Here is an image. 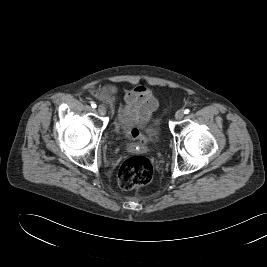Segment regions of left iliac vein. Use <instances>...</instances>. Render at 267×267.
Segmentation results:
<instances>
[{"instance_id":"1","label":"left iliac vein","mask_w":267,"mask_h":267,"mask_svg":"<svg viewBox=\"0 0 267 267\" xmlns=\"http://www.w3.org/2000/svg\"><path fill=\"white\" fill-rule=\"evenodd\" d=\"M184 117V111L183 110H178L175 114V118L177 120H181Z\"/></svg>"}]
</instances>
